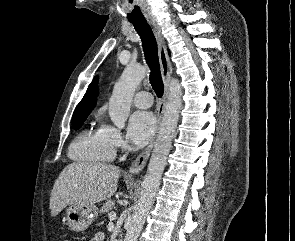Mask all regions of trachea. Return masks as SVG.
I'll list each match as a JSON object with an SVG mask.
<instances>
[{"mask_svg": "<svg viewBox=\"0 0 295 241\" xmlns=\"http://www.w3.org/2000/svg\"><path fill=\"white\" fill-rule=\"evenodd\" d=\"M139 34L146 62L151 70L150 83L156 95L161 98L164 93V85L161 78L158 49L155 36L146 20L131 21Z\"/></svg>", "mask_w": 295, "mask_h": 241, "instance_id": "1", "label": "trachea"}]
</instances>
